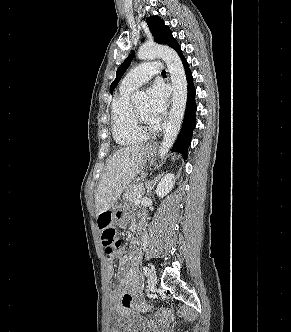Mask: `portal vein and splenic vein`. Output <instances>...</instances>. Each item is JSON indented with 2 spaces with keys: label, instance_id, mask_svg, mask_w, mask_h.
Segmentation results:
<instances>
[{
  "label": "portal vein and splenic vein",
  "instance_id": "obj_1",
  "mask_svg": "<svg viewBox=\"0 0 291 332\" xmlns=\"http://www.w3.org/2000/svg\"><path fill=\"white\" fill-rule=\"evenodd\" d=\"M139 203H140V199H136L134 202L135 205H138Z\"/></svg>",
  "mask_w": 291,
  "mask_h": 332
}]
</instances>
